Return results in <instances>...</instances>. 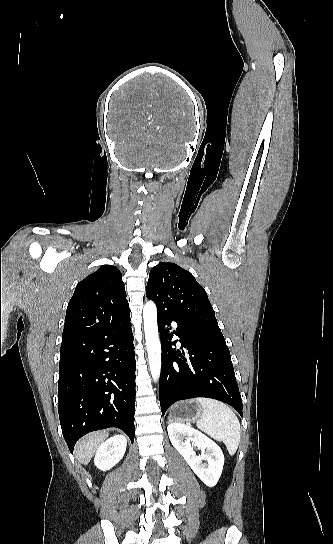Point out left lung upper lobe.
<instances>
[{"label":"left lung upper lobe","instance_id":"5c2ea615","mask_svg":"<svg viewBox=\"0 0 333 544\" xmlns=\"http://www.w3.org/2000/svg\"><path fill=\"white\" fill-rule=\"evenodd\" d=\"M146 296L159 311L221 332L205 289L190 272L174 263L160 262L151 269Z\"/></svg>","mask_w":333,"mask_h":544}]
</instances>
